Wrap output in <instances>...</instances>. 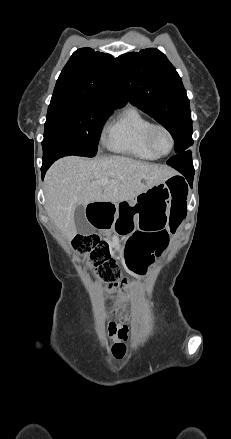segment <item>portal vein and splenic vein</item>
<instances>
[{
    "label": "portal vein and splenic vein",
    "instance_id": "1",
    "mask_svg": "<svg viewBox=\"0 0 231 439\" xmlns=\"http://www.w3.org/2000/svg\"><path fill=\"white\" fill-rule=\"evenodd\" d=\"M108 182H109L108 178H103L102 180L99 181V183L102 185H106Z\"/></svg>",
    "mask_w": 231,
    "mask_h": 439
}]
</instances>
